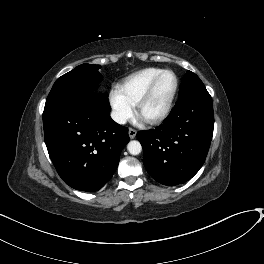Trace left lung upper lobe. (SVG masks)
Instances as JSON below:
<instances>
[{
	"label": "left lung upper lobe",
	"mask_w": 264,
	"mask_h": 264,
	"mask_svg": "<svg viewBox=\"0 0 264 264\" xmlns=\"http://www.w3.org/2000/svg\"><path fill=\"white\" fill-rule=\"evenodd\" d=\"M207 91L203 82L193 72L187 71L180 85L179 98L194 92Z\"/></svg>",
	"instance_id": "left-lung-upper-lobe-1"
}]
</instances>
